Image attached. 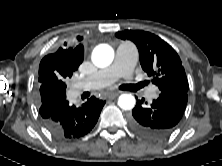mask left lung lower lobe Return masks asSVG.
Instances as JSON below:
<instances>
[{"label": "left lung lower lobe", "mask_w": 222, "mask_h": 166, "mask_svg": "<svg viewBox=\"0 0 222 166\" xmlns=\"http://www.w3.org/2000/svg\"><path fill=\"white\" fill-rule=\"evenodd\" d=\"M188 90L165 88L149 106L137 100L130 124L139 135L148 139H162L170 135L179 123L188 101ZM147 104V103H146Z\"/></svg>", "instance_id": "left-lung-lower-lobe-1"}]
</instances>
